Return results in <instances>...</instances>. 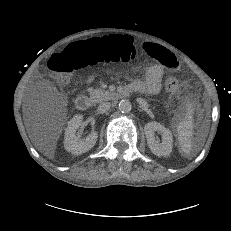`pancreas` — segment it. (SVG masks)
Returning <instances> with one entry per match:
<instances>
[{
	"label": "pancreas",
	"instance_id": "cf45deb5",
	"mask_svg": "<svg viewBox=\"0 0 231 231\" xmlns=\"http://www.w3.org/2000/svg\"><path fill=\"white\" fill-rule=\"evenodd\" d=\"M88 91L91 99L96 103L109 100L114 95V93L102 89L90 88Z\"/></svg>",
	"mask_w": 231,
	"mask_h": 231
}]
</instances>
